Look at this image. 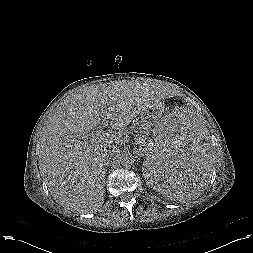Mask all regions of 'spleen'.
<instances>
[{
  "instance_id": "1",
  "label": "spleen",
  "mask_w": 253,
  "mask_h": 253,
  "mask_svg": "<svg viewBox=\"0 0 253 253\" xmlns=\"http://www.w3.org/2000/svg\"><path fill=\"white\" fill-rule=\"evenodd\" d=\"M145 154L146 178L170 199L195 198L210 179V137L188 110H172L153 126Z\"/></svg>"
}]
</instances>
